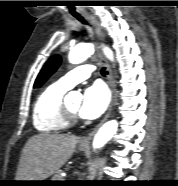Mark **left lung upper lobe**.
Wrapping results in <instances>:
<instances>
[{
    "instance_id": "obj_1",
    "label": "left lung upper lobe",
    "mask_w": 178,
    "mask_h": 186,
    "mask_svg": "<svg viewBox=\"0 0 178 186\" xmlns=\"http://www.w3.org/2000/svg\"><path fill=\"white\" fill-rule=\"evenodd\" d=\"M61 63L59 55H53L44 65L39 75L37 76L34 88L42 86V84L57 70Z\"/></svg>"
}]
</instances>
